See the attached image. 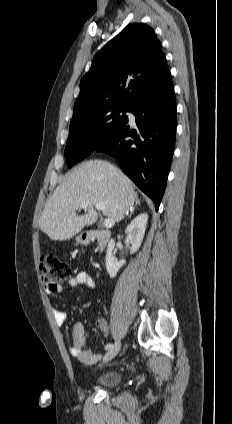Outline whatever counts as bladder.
<instances>
[{"label": "bladder", "mask_w": 232, "mask_h": 424, "mask_svg": "<svg viewBox=\"0 0 232 424\" xmlns=\"http://www.w3.org/2000/svg\"><path fill=\"white\" fill-rule=\"evenodd\" d=\"M122 379V372L119 370H109L101 375L97 380V386L104 389L116 387Z\"/></svg>", "instance_id": "bladder-1"}]
</instances>
